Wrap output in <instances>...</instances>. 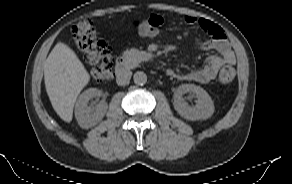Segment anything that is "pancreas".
<instances>
[{
    "instance_id": "1",
    "label": "pancreas",
    "mask_w": 292,
    "mask_h": 184,
    "mask_svg": "<svg viewBox=\"0 0 292 184\" xmlns=\"http://www.w3.org/2000/svg\"><path fill=\"white\" fill-rule=\"evenodd\" d=\"M123 58L128 68H134L140 62V55L138 50L130 49L123 52Z\"/></svg>"
}]
</instances>
